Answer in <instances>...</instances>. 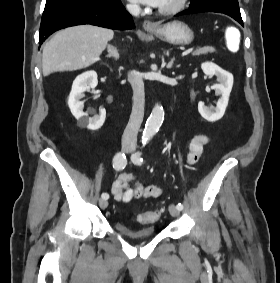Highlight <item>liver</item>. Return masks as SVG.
<instances>
[{"instance_id": "obj_1", "label": "liver", "mask_w": 280, "mask_h": 283, "mask_svg": "<svg viewBox=\"0 0 280 283\" xmlns=\"http://www.w3.org/2000/svg\"><path fill=\"white\" fill-rule=\"evenodd\" d=\"M113 36L111 29L92 25H80L58 31L43 48V75L48 76L57 71H73L92 65L100 59Z\"/></svg>"}]
</instances>
